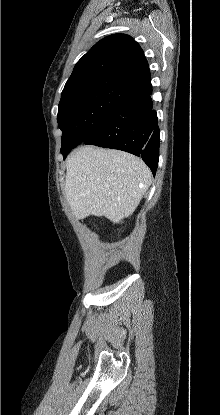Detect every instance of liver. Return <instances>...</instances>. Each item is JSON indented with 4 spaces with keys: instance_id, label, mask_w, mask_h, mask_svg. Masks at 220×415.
Masks as SVG:
<instances>
[{
    "instance_id": "1",
    "label": "liver",
    "mask_w": 220,
    "mask_h": 415,
    "mask_svg": "<svg viewBox=\"0 0 220 415\" xmlns=\"http://www.w3.org/2000/svg\"><path fill=\"white\" fill-rule=\"evenodd\" d=\"M65 194L78 219L104 216L119 223L139 205L151 183V171L129 153L83 146L66 163Z\"/></svg>"
}]
</instances>
